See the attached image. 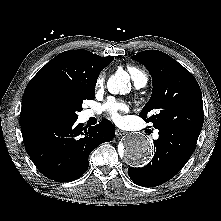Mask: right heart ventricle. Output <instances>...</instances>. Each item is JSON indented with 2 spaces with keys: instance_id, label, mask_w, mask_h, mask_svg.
Here are the masks:
<instances>
[{
  "instance_id": "1",
  "label": "right heart ventricle",
  "mask_w": 221,
  "mask_h": 221,
  "mask_svg": "<svg viewBox=\"0 0 221 221\" xmlns=\"http://www.w3.org/2000/svg\"><path fill=\"white\" fill-rule=\"evenodd\" d=\"M127 70L131 76V78L133 79V81L135 82V84L137 82H139L141 79L143 78H146L147 79V76L146 74L141 70L139 69L138 67H135V66H128L127 67Z\"/></svg>"
}]
</instances>
